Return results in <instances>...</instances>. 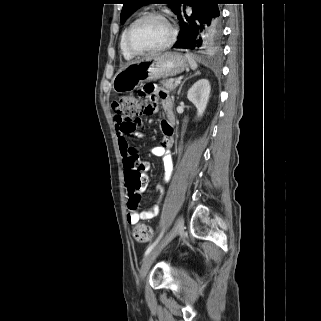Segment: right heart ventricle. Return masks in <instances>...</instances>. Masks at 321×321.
<instances>
[{"label":"right heart ventricle","mask_w":321,"mask_h":321,"mask_svg":"<svg viewBox=\"0 0 321 321\" xmlns=\"http://www.w3.org/2000/svg\"><path fill=\"white\" fill-rule=\"evenodd\" d=\"M128 28V27H127ZM127 28L123 31L122 35H121V38H120V50H121V53L124 57V59L126 60H132L135 56L131 55L126 47H125V44H124V37H125V33H126V30Z\"/></svg>","instance_id":"obj_1"}]
</instances>
